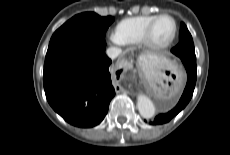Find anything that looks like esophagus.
Returning <instances> with one entry per match:
<instances>
[{
    "label": "esophagus",
    "mask_w": 230,
    "mask_h": 155,
    "mask_svg": "<svg viewBox=\"0 0 230 155\" xmlns=\"http://www.w3.org/2000/svg\"><path fill=\"white\" fill-rule=\"evenodd\" d=\"M118 66H119V70H121L124 73L129 68V63L122 61L118 63ZM117 74H120V71H118ZM114 87L117 93L125 91V89L117 81H115Z\"/></svg>",
    "instance_id": "1"
}]
</instances>
